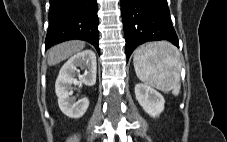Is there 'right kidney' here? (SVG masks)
Here are the masks:
<instances>
[{
	"mask_svg": "<svg viewBox=\"0 0 227 142\" xmlns=\"http://www.w3.org/2000/svg\"><path fill=\"white\" fill-rule=\"evenodd\" d=\"M85 70L80 75V70ZM97 63L92 50H84L72 56L60 69L55 83V92L61 111L70 118L82 117L88 109L89 100L86 97H73L72 85L82 84L93 86L96 83ZM78 78V79H77Z\"/></svg>",
	"mask_w": 227,
	"mask_h": 142,
	"instance_id": "ca27d5eb",
	"label": "right kidney"
}]
</instances>
